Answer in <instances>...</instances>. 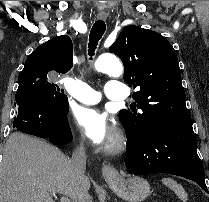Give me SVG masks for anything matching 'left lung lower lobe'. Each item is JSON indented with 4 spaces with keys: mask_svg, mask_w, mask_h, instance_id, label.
I'll list each match as a JSON object with an SVG mask.
<instances>
[{
    "mask_svg": "<svg viewBox=\"0 0 209 202\" xmlns=\"http://www.w3.org/2000/svg\"><path fill=\"white\" fill-rule=\"evenodd\" d=\"M125 165L129 174L168 173L196 182L208 192L196 151L192 122L161 123L146 137L127 136Z\"/></svg>",
    "mask_w": 209,
    "mask_h": 202,
    "instance_id": "0a47b994",
    "label": "left lung lower lobe"
}]
</instances>
